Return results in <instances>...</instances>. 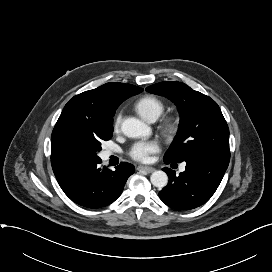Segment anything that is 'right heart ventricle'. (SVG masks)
I'll return each instance as SVG.
<instances>
[{"mask_svg": "<svg viewBox=\"0 0 272 272\" xmlns=\"http://www.w3.org/2000/svg\"><path fill=\"white\" fill-rule=\"evenodd\" d=\"M164 108L163 101L152 95L140 98L135 104L138 114L148 121H155L163 113Z\"/></svg>", "mask_w": 272, "mask_h": 272, "instance_id": "1", "label": "right heart ventricle"}]
</instances>
